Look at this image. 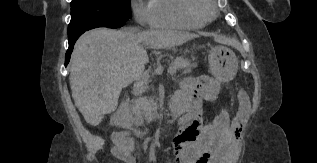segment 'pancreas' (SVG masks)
<instances>
[{
  "label": "pancreas",
  "mask_w": 317,
  "mask_h": 163,
  "mask_svg": "<svg viewBox=\"0 0 317 163\" xmlns=\"http://www.w3.org/2000/svg\"><path fill=\"white\" fill-rule=\"evenodd\" d=\"M196 63L187 58L177 57L170 65V68L177 70L182 69L183 73H191L196 67ZM157 103L152 97H139L129 106L125 114V121L130 122L136 126L144 125V121L150 123L156 118Z\"/></svg>",
  "instance_id": "obj_1"
}]
</instances>
